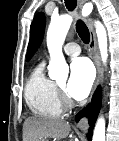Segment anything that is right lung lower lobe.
<instances>
[{
    "instance_id": "obj_1",
    "label": "right lung lower lobe",
    "mask_w": 119,
    "mask_h": 141,
    "mask_svg": "<svg viewBox=\"0 0 119 141\" xmlns=\"http://www.w3.org/2000/svg\"><path fill=\"white\" fill-rule=\"evenodd\" d=\"M100 106H101V88L98 87L92 98L91 104L76 115V121L80 120L83 116H87L89 119V124L91 128L89 129V132L87 134L88 140H91L92 138V128L94 127L95 121L97 119Z\"/></svg>"
}]
</instances>
